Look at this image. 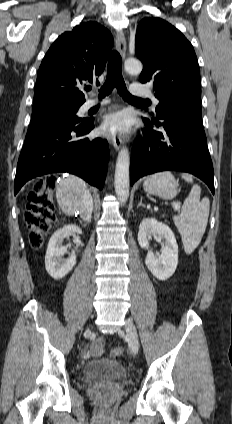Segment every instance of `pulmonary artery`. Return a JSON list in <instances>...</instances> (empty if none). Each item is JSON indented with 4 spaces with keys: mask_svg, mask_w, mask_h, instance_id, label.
<instances>
[{
    "mask_svg": "<svg viewBox=\"0 0 232 424\" xmlns=\"http://www.w3.org/2000/svg\"><path fill=\"white\" fill-rule=\"evenodd\" d=\"M130 92L134 96H149L152 97L154 104H158L159 100L152 96L151 91L143 84H132L130 87ZM110 101L108 99H103L101 101H98L96 99H90L87 100L84 105L83 109L88 110L90 108L96 107V106H104L107 105Z\"/></svg>",
    "mask_w": 232,
    "mask_h": 424,
    "instance_id": "pulmonary-artery-1",
    "label": "pulmonary artery"
}]
</instances>
